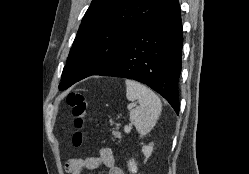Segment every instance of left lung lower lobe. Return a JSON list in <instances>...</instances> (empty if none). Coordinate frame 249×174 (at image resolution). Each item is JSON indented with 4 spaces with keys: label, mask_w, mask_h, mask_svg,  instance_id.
I'll list each match as a JSON object with an SVG mask.
<instances>
[{
    "label": "left lung lower lobe",
    "mask_w": 249,
    "mask_h": 174,
    "mask_svg": "<svg viewBox=\"0 0 249 174\" xmlns=\"http://www.w3.org/2000/svg\"><path fill=\"white\" fill-rule=\"evenodd\" d=\"M182 44L179 2L165 0L123 50L94 75L142 82L162 95L178 114Z\"/></svg>",
    "instance_id": "1"
}]
</instances>
